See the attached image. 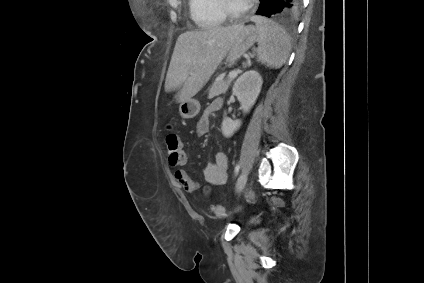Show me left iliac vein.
<instances>
[{
  "label": "left iliac vein",
  "mask_w": 424,
  "mask_h": 283,
  "mask_svg": "<svg viewBox=\"0 0 424 283\" xmlns=\"http://www.w3.org/2000/svg\"><path fill=\"white\" fill-rule=\"evenodd\" d=\"M246 181H247V172L243 171L237 180V184H236L237 192H241L243 190V188L245 187Z\"/></svg>",
  "instance_id": "1"
}]
</instances>
